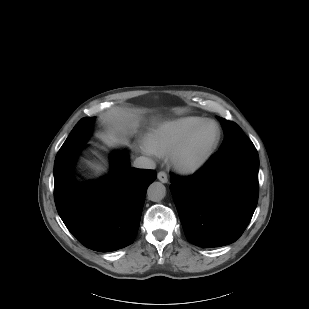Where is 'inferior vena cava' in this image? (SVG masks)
Listing matches in <instances>:
<instances>
[{"label": "inferior vena cava", "mask_w": 309, "mask_h": 309, "mask_svg": "<svg viewBox=\"0 0 309 309\" xmlns=\"http://www.w3.org/2000/svg\"><path fill=\"white\" fill-rule=\"evenodd\" d=\"M133 166L136 168H140V169H155L156 168V164L152 159L143 157V156L136 158Z\"/></svg>", "instance_id": "602c4592"}]
</instances>
